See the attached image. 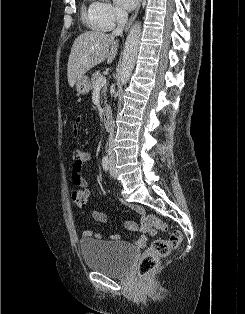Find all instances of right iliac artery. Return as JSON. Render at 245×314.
Here are the masks:
<instances>
[{
  "instance_id": "obj_1",
  "label": "right iliac artery",
  "mask_w": 245,
  "mask_h": 314,
  "mask_svg": "<svg viewBox=\"0 0 245 314\" xmlns=\"http://www.w3.org/2000/svg\"><path fill=\"white\" fill-rule=\"evenodd\" d=\"M102 166H103V169L106 172L109 170L110 162H109V158L107 156L103 157V159H102Z\"/></svg>"
}]
</instances>
